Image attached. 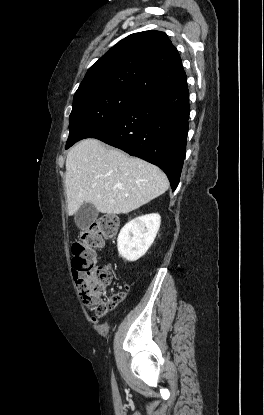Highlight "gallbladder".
Here are the masks:
<instances>
[{
  "instance_id": "bac80fb5",
  "label": "gallbladder",
  "mask_w": 264,
  "mask_h": 415,
  "mask_svg": "<svg viewBox=\"0 0 264 415\" xmlns=\"http://www.w3.org/2000/svg\"><path fill=\"white\" fill-rule=\"evenodd\" d=\"M98 210L90 203L84 202L75 214V223L80 230H86L97 218Z\"/></svg>"
}]
</instances>
